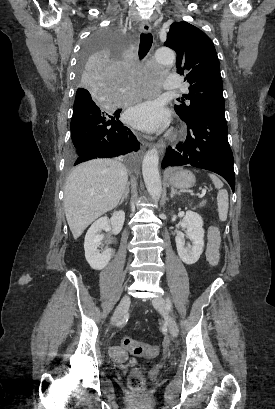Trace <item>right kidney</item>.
<instances>
[{
	"mask_svg": "<svg viewBox=\"0 0 275 409\" xmlns=\"http://www.w3.org/2000/svg\"><path fill=\"white\" fill-rule=\"evenodd\" d=\"M124 219V211H116V213H113L111 219L101 217V219L95 221L90 229H88L85 237L84 251L86 261L89 263L91 269L101 271V269L107 267L111 257H114V249H105V251L100 253L98 247L104 237V235H100V233L103 229H108L110 223L113 235H118L123 227Z\"/></svg>",
	"mask_w": 275,
	"mask_h": 409,
	"instance_id": "right-kidney-1",
	"label": "right kidney"
}]
</instances>
